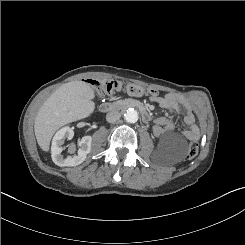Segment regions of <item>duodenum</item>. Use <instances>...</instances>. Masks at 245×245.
I'll return each mask as SVG.
<instances>
[{
  "instance_id": "410a0bca",
  "label": "duodenum",
  "mask_w": 245,
  "mask_h": 245,
  "mask_svg": "<svg viewBox=\"0 0 245 245\" xmlns=\"http://www.w3.org/2000/svg\"><path fill=\"white\" fill-rule=\"evenodd\" d=\"M120 107H134L137 108L144 121H149L150 120V116L148 114L147 109L140 103L135 102V101H127V102H115V103H105L101 106L102 111L104 112H110V111H114Z\"/></svg>"
}]
</instances>
